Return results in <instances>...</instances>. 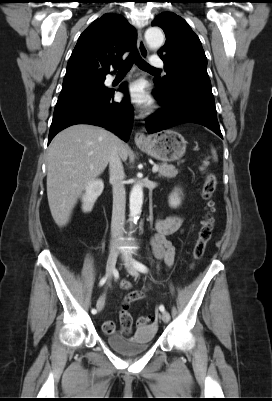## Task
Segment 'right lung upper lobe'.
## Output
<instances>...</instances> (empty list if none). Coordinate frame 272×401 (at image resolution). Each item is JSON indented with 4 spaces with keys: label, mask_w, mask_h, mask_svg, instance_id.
Returning <instances> with one entry per match:
<instances>
[{
    "label": "right lung upper lobe",
    "mask_w": 272,
    "mask_h": 401,
    "mask_svg": "<svg viewBox=\"0 0 272 401\" xmlns=\"http://www.w3.org/2000/svg\"><path fill=\"white\" fill-rule=\"evenodd\" d=\"M137 32L119 14L107 13L80 35L67 64L62 90L100 80L122 61V55L136 42Z\"/></svg>",
    "instance_id": "obj_1"
}]
</instances>
